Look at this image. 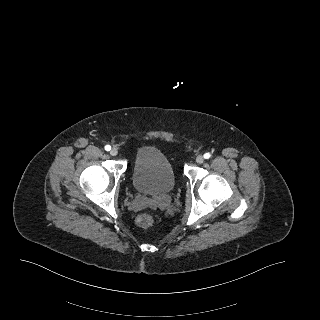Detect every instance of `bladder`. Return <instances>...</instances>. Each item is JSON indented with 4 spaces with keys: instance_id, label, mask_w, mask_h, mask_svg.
Masks as SVG:
<instances>
[{
    "instance_id": "bladder-1",
    "label": "bladder",
    "mask_w": 320,
    "mask_h": 320,
    "mask_svg": "<svg viewBox=\"0 0 320 320\" xmlns=\"http://www.w3.org/2000/svg\"><path fill=\"white\" fill-rule=\"evenodd\" d=\"M132 181L135 189L145 195H164L176 185L173 166L167 156L158 148H140L135 156Z\"/></svg>"
}]
</instances>
